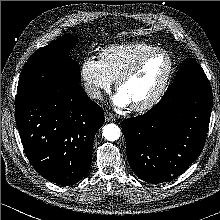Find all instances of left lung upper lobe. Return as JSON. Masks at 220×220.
<instances>
[{
  "mask_svg": "<svg viewBox=\"0 0 220 220\" xmlns=\"http://www.w3.org/2000/svg\"><path fill=\"white\" fill-rule=\"evenodd\" d=\"M201 87H210V83L202 67L192 58L184 60L179 71L168 87L162 99H172L184 92Z\"/></svg>",
  "mask_w": 220,
  "mask_h": 220,
  "instance_id": "left-lung-upper-lobe-1",
  "label": "left lung upper lobe"
}]
</instances>
